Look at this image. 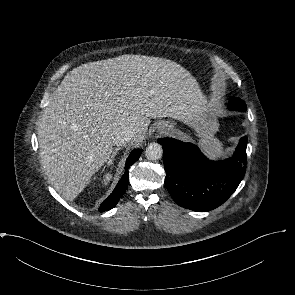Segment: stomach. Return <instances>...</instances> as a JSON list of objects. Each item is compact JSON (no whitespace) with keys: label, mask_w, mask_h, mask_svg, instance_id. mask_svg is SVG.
I'll return each instance as SVG.
<instances>
[{"label":"stomach","mask_w":295,"mask_h":295,"mask_svg":"<svg viewBox=\"0 0 295 295\" xmlns=\"http://www.w3.org/2000/svg\"><path fill=\"white\" fill-rule=\"evenodd\" d=\"M204 125H211V126H214L215 128L217 127V124L215 122V115L211 111L210 108L208 109V111H206L204 113V115L202 116V118L200 120H198L197 122H195L193 124V126H195V127H201V126H204ZM173 131L175 133H177L178 135H180V136H184L182 133L179 132L178 129H176L174 127H173Z\"/></svg>","instance_id":"obj_1"}]
</instances>
